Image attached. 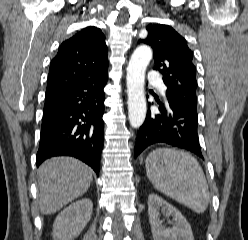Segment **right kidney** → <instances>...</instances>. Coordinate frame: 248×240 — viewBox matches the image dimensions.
<instances>
[{"mask_svg":"<svg viewBox=\"0 0 248 240\" xmlns=\"http://www.w3.org/2000/svg\"><path fill=\"white\" fill-rule=\"evenodd\" d=\"M93 204L90 199L78 200L66 207L53 224L54 240H73L91 219Z\"/></svg>","mask_w":248,"mask_h":240,"instance_id":"right-kidney-1","label":"right kidney"}]
</instances>
